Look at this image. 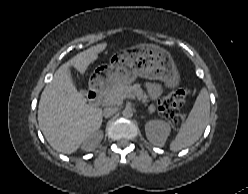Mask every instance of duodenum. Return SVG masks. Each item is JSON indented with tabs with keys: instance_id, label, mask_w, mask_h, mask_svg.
<instances>
[{
	"instance_id": "1",
	"label": "duodenum",
	"mask_w": 248,
	"mask_h": 194,
	"mask_svg": "<svg viewBox=\"0 0 248 194\" xmlns=\"http://www.w3.org/2000/svg\"><path fill=\"white\" fill-rule=\"evenodd\" d=\"M88 99L91 105L96 106L101 100V90L100 87L96 84L93 85L88 91Z\"/></svg>"
}]
</instances>
